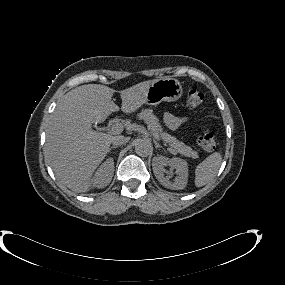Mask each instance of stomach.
<instances>
[{"mask_svg": "<svg viewBox=\"0 0 285 285\" xmlns=\"http://www.w3.org/2000/svg\"><path fill=\"white\" fill-rule=\"evenodd\" d=\"M182 86L174 78L155 80L147 89L145 100L148 105H158L162 101L175 102L182 96Z\"/></svg>", "mask_w": 285, "mask_h": 285, "instance_id": "obj_1", "label": "stomach"}]
</instances>
